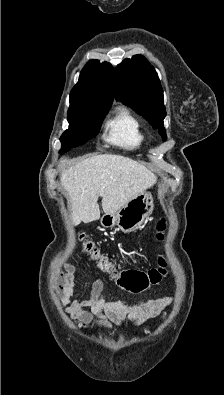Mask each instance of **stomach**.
Segmentation results:
<instances>
[{
	"mask_svg": "<svg viewBox=\"0 0 224 395\" xmlns=\"http://www.w3.org/2000/svg\"><path fill=\"white\" fill-rule=\"evenodd\" d=\"M154 208L153 197L150 192L144 191L137 197L128 201L115 213H104L100 223L104 228L118 226L122 232H131L139 228L152 213Z\"/></svg>",
	"mask_w": 224,
	"mask_h": 395,
	"instance_id": "stomach-1",
	"label": "stomach"
}]
</instances>
